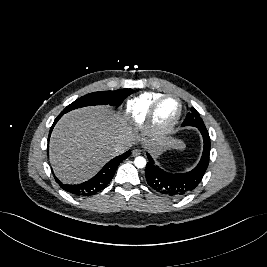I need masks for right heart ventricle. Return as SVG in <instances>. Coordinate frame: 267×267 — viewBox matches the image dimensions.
<instances>
[{"mask_svg": "<svg viewBox=\"0 0 267 267\" xmlns=\"http://www.w3.org/2000/svg\"><path fill=\"white\" fill-rule=\"evenodd\" d=\"M161 95L160 92H144L128 100L125 107L128 120L136 126L142 125L152 103Z\"/></svg>", "mask_w": 267, "mask_h": 267, "instance_id": "obj_1", "label": "right heart ventricle"}]
</instances>
